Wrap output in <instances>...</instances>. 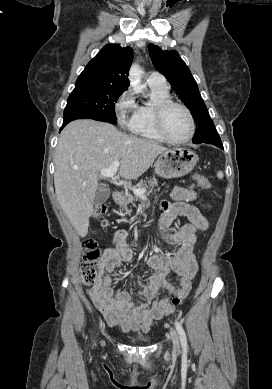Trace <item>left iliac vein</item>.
<instances>
[{
  "instance_id": "obj_1",
  "label": "left iliac vein",
  "mask_w": 272,
  "mask_h": 389,
  "mask_svg": "<svg viewBox=\"0 0 272 389\" xmlns=\"http://www.w3.org/2000/svg\"><path fill=\"white\" fill-rule=\"evenodd\" d=\"M170 337L173 343V348L175 352H178L180 350V342H179V336L175 330H172L170 333Z\"/></svg>"
}]
</instances>
